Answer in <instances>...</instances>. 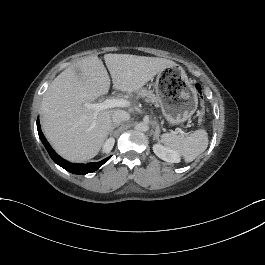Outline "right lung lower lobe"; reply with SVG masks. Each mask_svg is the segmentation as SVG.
<instances>
[{
	"mask_svg": "<svg viewBox=\"0 0 265 265\" xmlns=\"http://www.w3.org/2000/svg\"><path fill=\"white\" fill-rule=\"evenodd\" d=\"M37 130L39 134V138L41 139L42 143L44 144L45 148L47 149L50 157L53 159L55 163H57L59 166L64 168L65 170L74 173V174H87L90 172L96 171L101 165H103L106 161H108L110 157H107L106 159L96 162V163H88V164H73L70 163L64 159H62L60 156H58L54 150L51 148L47 140L45 139L43 133L41 132V127L39 123V119H37Z\"/></svg>",
	"mask_w": 265,
	"mask_h": 265,
	"instance_id": "obj_1",
	"label": "right lung lower lobe"
}]
</instances>
